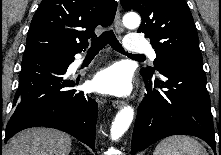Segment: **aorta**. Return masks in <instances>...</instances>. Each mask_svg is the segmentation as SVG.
I'll list each match as a JSON object with an SVG mask.
<instances>
[{
  "mask_svg": "<svg viewBox=\"0 0 221 155\" xmlns=\"http://www.w3.org/2000/svg\"><path fill=\"white\" fill-rule=\"evenodd\" d=\"M140 16L136 13H128L123 18V23L128 28H136L140 25ZM134 117L132 106L123 107L116 115L111 126V138L117 140L129 128Z\"/></svg>",
  "mask_w": 221,
  "mask_h": 155,
  "instance_id": "obj_1",
  "label": "aorta"
}]
</instances>
